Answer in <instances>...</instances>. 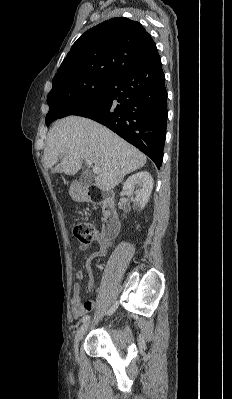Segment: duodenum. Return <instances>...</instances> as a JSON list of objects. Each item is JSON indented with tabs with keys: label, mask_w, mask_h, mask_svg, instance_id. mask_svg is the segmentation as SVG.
Returning a JSON list of instances; mask_svg holds the SVG:
<instances>
[{
	"label": "duodenum",
	"mask_w": 232,
	"mask_h": 399,
	"mask_svg": "<svg viewBox=\"0 0 232 399\" xmlns=\"http://www.w3.org/2000/svg\"><path fill=\"white\" fill-rule=\"evenodd\" d=\"M78 195L83 201L101 206L104 216L102 236L107 240L114 239L120 231V221L113 192L86 185L78 189Z\"/></svg>",
	"instance_id": "duodenum-1"
}]
</instances>
